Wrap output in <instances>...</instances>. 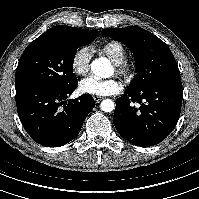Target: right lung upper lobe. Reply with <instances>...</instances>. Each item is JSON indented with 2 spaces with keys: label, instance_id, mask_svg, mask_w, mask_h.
<instances>
[{
  "label": "right lung upper lobe",
  "instance_id": "obj_1",
  "mask_svg": "<svg viewBox=\"0 0 199 199\" xmlns=\"http://www.w3.org/2000/svg\"><path fill=\"white\" fill-rule=\"evenodd\" d=\"M47 32L50 33H55L59 35H71V34H92L98 37L100 34L99 31H92V30H85V29H80L76 27H70V26H65V25H59L55 26L51 29H49Z\"/></svg>",
  "mask_w": 199,
  "mask_h": 199
}]
</instances>
